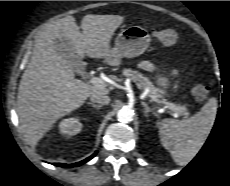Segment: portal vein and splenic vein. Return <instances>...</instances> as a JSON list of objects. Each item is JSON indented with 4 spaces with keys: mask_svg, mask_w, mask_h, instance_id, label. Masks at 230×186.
Returning a JSON list of instances; mask_svg holds the SVG:
<instances>
[{
    "mask_svg": "<svg viewBox=\"0 0 230 186\" xmlns=\"http://www.w3.org/2000/svg\"><path fill=\"white\" fill-rule=\"evenodd\" d=\"M90 82L95 86H99V87L106 86V82L99 77H91ZM152 99L154 101H157V99L154 97H152ZM166 104L168 105V108L171 109L173 112H175V114L177 115L178 107L174 104H170V103H166Z\"/></svg>",
    "mask_w": 230,
    "mask_h": 186,
    "instance_id": "obj_1",
    "label": "portal vein and splenic vein"
}]
</instances>
